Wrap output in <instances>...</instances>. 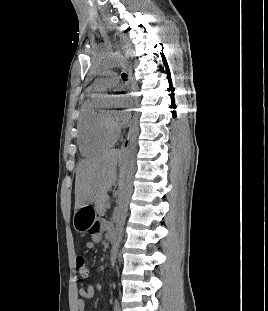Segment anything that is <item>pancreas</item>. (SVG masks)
<instances>
[{
    "label": "pancreas",
    "mask_w": 268,
    "mask_h": 311,
    "mask_svg": "<svg viewBox=\"0 0 268 311\" xmlns=\"http://www.w3.org/2000/svg\"><path fill=\"white\" fill-rule=\"evenodd\" d=\"M109 205V198L106 195L95 200V210L98 214H104Z\"/></svg>",
    "instance_id": "cf45deb5"
}]
</instances>
